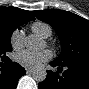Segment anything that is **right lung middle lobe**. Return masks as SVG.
<instances>
[{
	"label": "right lung middle lobe",
	"mask_w": 89,
	"mask_h": 89,
	"mask_svg": "<svg viewBox=\"0 0 89 89\" xmlns=\"http://www.w3.org/2000/svg\"><path fill=\"white\" fill-rule=\"evenodd\" d=\"M15 29L7 23L0 22V54L5 55L6 52L12 51L11 35Z\"/></svg>",
	"instance_id": "right-lung-middle-lobe-1"
}]
</instances>
